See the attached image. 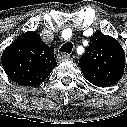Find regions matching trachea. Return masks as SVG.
I'll use <instances>...</instances> for the list:
<instances>
[{
    "label": "trachea",
    "mask_w": 127,
    "mask_h": 127,
    "mask_svg": "<svg viewBox=\"0 0 127 127\" xmlns=\"http://www.w3.org/2000/svg\"><path fill=\"white\" fill-rule=\"evenodd\" d=\"M72 49H73V44L70 43V42H67V43H65L64 45L61 46L59 51L66 52V53L70 54L72 52Z\"/></svg>",
    "instance_id": "3493384b"
}]
</instances>
